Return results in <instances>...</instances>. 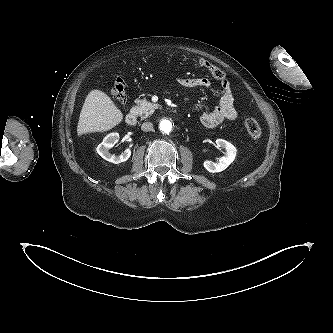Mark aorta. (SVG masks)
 Listing matches in <instances>:
<instances>
[{
  "mask_svg": "<svg viewBox=\"0 0 333 333\" xmlns=\"http://www.w3.org/2000/svg\"><path fill=\"white\" fill-rule=\"evenodd\" d=\"M159 127L162 132L169 133L172 129V123L169 120H162Z\"/></svg>",
  "mask_w": 333,
  "mask_h": 333,
  "instance_id": "762f6f07",
  "label": "aorta"
}]
</instances>
